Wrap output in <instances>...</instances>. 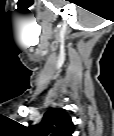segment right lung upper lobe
I'll use <instances>...</instances> for the list:
<instances>
[{
  "label": "right lung upper lobe",
  "instance_id": "obj_1",
  "mask_svg": "<svg viewBox=\"0 0 114 136\" xmlns=\"http://www.w3.org/2000/svg\"><path fill=\"white\" fill-rule=\"evenodd\" d=\"M31 127L38 136H72L74 132L71 117L60 108L50 109L39 124Z\"/></svg>",
  "mask_w": 114,
  "mask_h": 136
}]
</instances>
